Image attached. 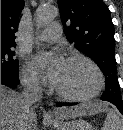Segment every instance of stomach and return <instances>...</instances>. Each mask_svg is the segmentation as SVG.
I'll list each match as a JSON object with an SVG mask.
<instances>
[{"mask_svg": "<svg viewBox=\"0 0 123 130\" xmlns=\"http://www.w3.org/2000/svg\"><path fill=\"white\" fill-rule=\"evenodd\" d=\"M51 124L56 130H94L91 124L81 118L71 121H63L56 118L51 120Z\"/></svg>", "mask_w": 123, "mask_h": 130, "instance_id": "1", "label": "stomach"}]
</instances>
